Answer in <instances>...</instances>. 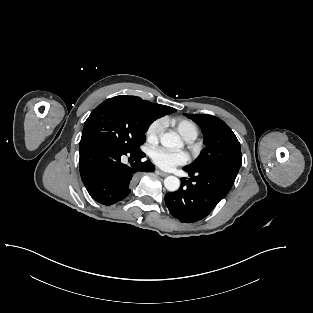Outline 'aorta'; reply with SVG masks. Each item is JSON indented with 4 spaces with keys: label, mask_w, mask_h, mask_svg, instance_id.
Returning <instances> with one entry per match:
<instances>
[{
    "label": "aorta",
    "mask_w": 313,
    "mask_h": 313,
    "mask_svg": "<svg viewBox=\"0 0 313 313\" xmlns=\"http://www.w3.org/2000/svg\"><path fill=\"white\" fill-rule=\"evenodd\" d=\"M161 144L169 149L177 148L182 145L180 137L175 132H167L160 137ZM165 188L174 192L180 187V180L175 176H168L164 179Z\"/></svg>",
    "instance_id": "1"
}]
</instances>
